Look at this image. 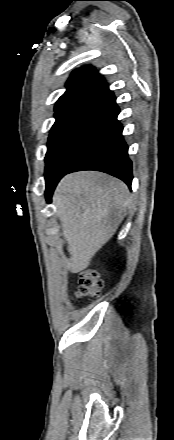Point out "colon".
I'll list each match as a JSON object with an SVG mask.
<instances>
[{
	"instance_id": "colon-1",
	"label": "colon",
	"mask_w": 174,
	"mask_h": 440,
	"mask_svg": "<svg viewBox=\"0 0 174 440\" xmlns=\"http://www.w3.org/2000/svg\"><path fill=\"white\" fill-rule=\"evenodd\" d=\"M103 287V282L95 270L87 269L80 274V283L76 296L78 298H96Z\"/></svg>"
}]
</instances>
